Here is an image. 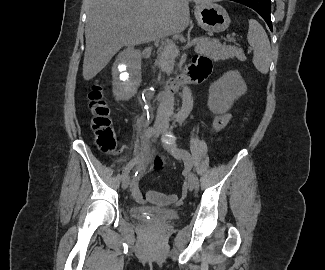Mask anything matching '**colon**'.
Returning a JSON list of instances; mask_svg holds the SVG:
<instances>
[{
  "label": "colon",
  "mask_w": 325,
  "mask_h": 270,
  "mask_svg": "<svg viewBox=\"0 0 325 270\" xmlns=\"http://www.w3.org/2000/svg\"><path fill=\"white\" fill-rule=\"evenodd\" d=\"M88 106L91 113V127L96 135V142L103 153H112L116 146V135L111 127L110 111L102 95V89L94 85L88 94ZM146 198L158 205H167L177 200L174 194L148 191Z\"/></svg>",
  "instance_id": "5ec220e1"
}]
</instances>
